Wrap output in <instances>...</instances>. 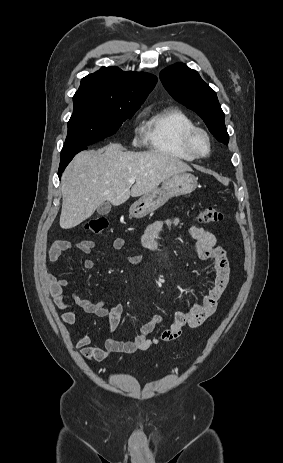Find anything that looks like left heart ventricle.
Instances as JSON below:
<instances>
[{"mask_svg":"<svg viewBox=\"0 0 283 463\" xmlns=\"http://www.w3.org/2000/svg\"><path fill=\"white\" fill-rule=\"evenodd\" d=\"M198 147L200 150L204 151L206 149V144L203 139L198 140Z\"/></svg>","mask_w":283,"mask_h":463,"instance_id":"1","label":"left heart ventricle"}]
</instances>
